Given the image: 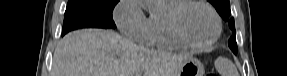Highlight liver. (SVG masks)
<instances>
[{
    "label": "liver",
    "instance_id": "6515ba94",
    "mask_svg": "<svg viewBox=\"0 0 287 76\" xmlns=\"http://www.w3.org/2000/svg\"><path fill=\"white\" fill-rule=\"evenodd\" d=\"M189 57L138 46L110 30L83 29L59 41L51 76H178Z\"/></svg>",
    "mask_w": 287,
    "mask_h": 76
}]
</instances>
